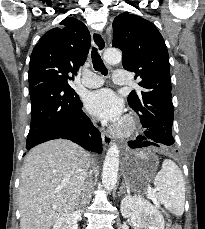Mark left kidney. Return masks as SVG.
Here are the masks:
<instances>
[{"label":"left kidney","instance_id":"5707ae66","mask_svg":"<svg viewBox=\"0 0 205 229\" xmlns=\"http://www.w3.org/2000/svg\"><path fill=\"white\" fill-rule=\"evenodd\" d=\"M121 214L135 219V229H164V218L157 207L142 196L126 195L121 200Z\"/></svg>","mask_w":205,"mask_h":229}]
</instances>
